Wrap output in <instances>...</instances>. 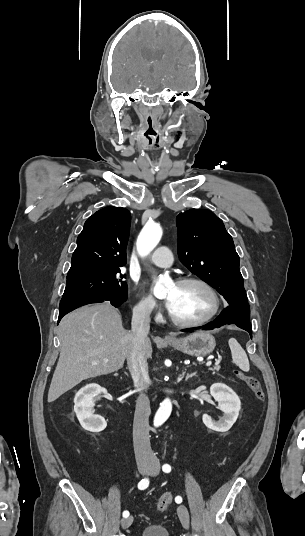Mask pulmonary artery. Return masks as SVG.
Returning a JSON list of instances; mask_svg holds the SVG:
<instances>
[{"label": "pulmonary artery", "instance_id": "pulmonary-artery-1", "mask_svg": "<svg viewBox=\"0 0 305 536\" xmlns=\"http://www.w3.org/2000/svg\"><path fill=\"white\" fill-rule=\"evenodd\" d=\"M169 254L168 247L160 246L149 255L148 261L159 267H169L173 264V258Z\"/></svg>", "mask_w": 305, "mask_h": 536}]
</instances>
